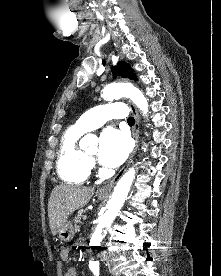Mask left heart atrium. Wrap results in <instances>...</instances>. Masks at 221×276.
<instances>
[{
  "mask_svg": "<svg viewBox=\"0 0 221 276\" xmlns=\"http://www.w3.org/2000/svg\"><path fill=\"white\" fill-rule=\"evenodd\" d=\"M130 151L128 136L114 128L103 131L100 137L99 160L108 167H117L127 158Z\"/></svg>",
  "mask_w": 221,
  "mask_h": 276,
  "instance_id": "obj_1",
  "label": "left heart atrium"
}]
</instances>
